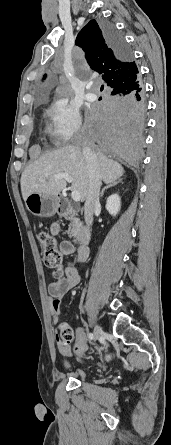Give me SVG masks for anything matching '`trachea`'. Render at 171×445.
Here are the masks:
<instances>
[{
	"label": "trachea",
	"instance_id": "1",
	"mask_svg": "<svg viewBox=\"0 0 171 445\" xmlns=\"http://www.w3.org/2000/svg\"><path fill=\"white\" fill-rule=\"evenodd\" d=\"M103 89H104V86L102 85V86H101V91H102Z\"/></svg>",
	"mask_w": 171,
	"mask_h": 445
}]
</instances>
